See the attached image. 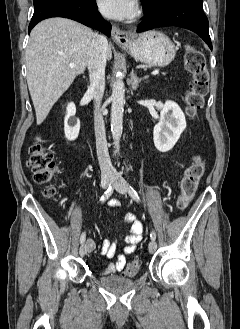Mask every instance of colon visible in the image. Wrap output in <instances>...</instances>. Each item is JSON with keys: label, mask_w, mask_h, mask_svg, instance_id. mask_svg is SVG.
Listing matches in <instances>:
<instances>
[{"label": "colon", "mask_w": 240, "mask_h": 329, "mask_svg": "<svg viewBox=\"0 0 240 329\" xmlns=\"http://www.w3.org/2000/svg\"><path fill=\"white\" fill-rule=\"evenodd\" d=\"M184 66L192 77L185 99L187 112L193 117L204 104L205 96L208 93L209 73L203 53L192 46H188L185 50ZM29 152L28 165L33 173L34 181L45 186V195L54 196L56 190L52 182L58 172V165L54 160L52 151L39 138H36ZM204 171V161L200 156H194L180 182V194L177 199L179 209H185L194 197ZM139 267L138 261H132L127 265L125 272L127 275H134L138 272Z\"/></svg>", "instance_id": "5ec220e1"}]
</instances>
